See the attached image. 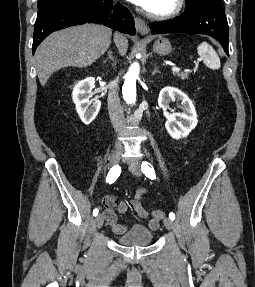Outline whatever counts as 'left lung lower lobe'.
Here are the masks:
<instances>
[{"instance_id": "1", "label": "left lung lower lobe", "mask_w": 255, "mask_h": 287, "mask_svg": "<svg viewBox=\"0 0 255 287\" xmlns=\"http://www.w3.org/2000/svg\"><path fill=\"white\" fill-rule=\"evenodd\" d=\"M152 34L196 33L217 39L228 52V22L219 2L195 0L187 4L182 16L172 20L149 23Z\"/></svg>"}]
</instances>
